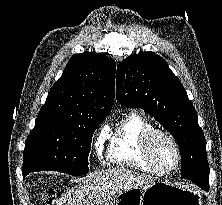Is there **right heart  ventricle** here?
I'll return each instance as SVG.
<instances>
[{"mask_svg":"<svg viewBox=\"0 0 222 205\" xmlns=\"http://www.w3.org/2000/svg\"><path fill=\"white\" fill-rule=\"evenodd\" d=\"M152 128V125L140 114L129 115L111 138L107 154L108 160L118 165L162 175V172L149 163L142 149V138Z\"/></svg>","mask_w":222,"mask_h":205,"instance_id":"1","label":"right heart ventricle"}]
</instances>
